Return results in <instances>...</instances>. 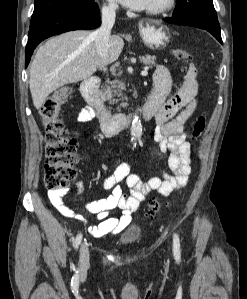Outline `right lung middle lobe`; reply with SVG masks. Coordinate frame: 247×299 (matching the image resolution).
<instances>
[{"label": "right lung middle lobe", "instance_id": "right-lung-middle-lobe-1", "mask_svg": "<svg viewBox=\"0 0 247 299\" xmlns=\"http://www.w3.org/2000/svg\"><path fill=\"white\" fill-rule=\"evenodd\" d=\"M93 2L94 0H35L30 27L61 11Z\"/></svg>", "mask_w": 247, "mask_h": 299}]
</instances>
